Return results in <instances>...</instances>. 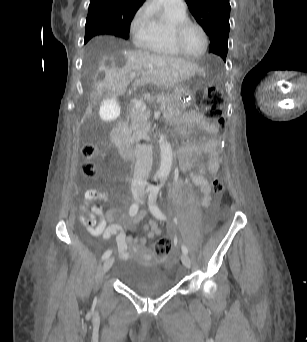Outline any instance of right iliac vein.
<instances>
[{"mask_svg": "<svg viewBox=\"0 0 307 342\" xmlns=\"http://www.w3.org/2000/svg\"><path fill=\"white\" fill-rule=\"evenodd\" d=\"M113 262H114V257H109L106 259V261L104 262L103 267H102V273L103 274H106L109 271Z\"/></svg>", "mask_w": 307, "mask_h": 342, "instance_id": "1", "label": "right iliac vein"}]
</instances>
